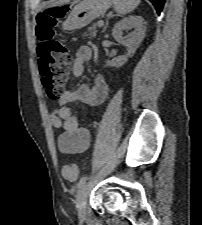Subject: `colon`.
I'll return each instance as SVG.
<instances>
[{
	"instance_id": "5ec220e1",
	"label": "colon",
	"mask_w": 202,
	"mask_h": 225,
	"mask_svg": "<svg viewBox=\"0 0 202 225\" xmlns=\"http://www.w3.org/2000/svg\"><path fill=\"white\" fill-rule=\"evenodd\" d=\"M61 8H50L36 15L35 35L39 40L40 78L49 100L60 98L68 79L72 58L62 42L54 38V27L60 20ZM77 167L74 164L63 166L65 178H77Z\"/></svg>"
}]
</instances>
